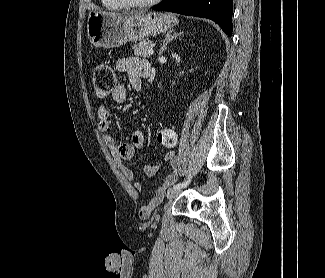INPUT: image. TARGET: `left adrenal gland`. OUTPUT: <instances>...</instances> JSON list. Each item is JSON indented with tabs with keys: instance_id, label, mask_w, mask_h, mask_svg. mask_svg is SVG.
I'll use <instances>...</instances> for the list:
<instances>
[{
	"instance_id": "1",
	"label": "left adrenal gland",
	"mask_w": 325,
	"mask_h": 278,
	"mask_svg": "<svg viewBox=\"0 0 325 278\" xmlns=\"http://www.w3.org/2000/svg\"><path fill=\"white\" fill-rule=\"evenodd\" d=\"M182 33L183 32H176L175 30L168 31L159 50V55H162V53L166 50V46L170 41H172L177 36H180Z\"/></svg>"
}]
</instances>
